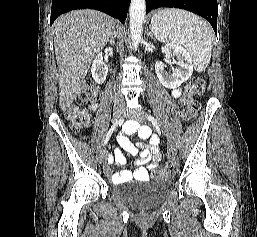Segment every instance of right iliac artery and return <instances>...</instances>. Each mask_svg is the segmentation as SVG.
<instances>
[{
    "mask_svg": "<svg viewBox=\"0 0 257 237\" xmlns=\"http://www.w3.org/2000/svg\"><path fill=\"white\" fill-rule=\"evenodd\" d=\"M123 121H124V119L121 118L120 120L116 121V122L111 126L110 130L108 131V133H107V135H106V137H105V139H104L103 145H106V144L108 143V141H109V139H110V137H111L113 131L117 128L118 125H121V124L123 123Z\"/></svg>",
    "mask_w": 257,
    "mask_h": 237,
    "instance_id": "right-iliac-artery-1",
    "label": "right iliac artery"
}]
</instances>
